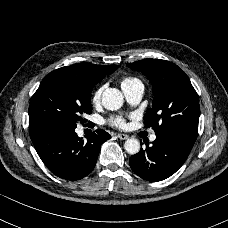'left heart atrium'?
Wrapping results in <instances>:
<instances>
[{"mask_svg":"<svg viewBox=\"0 0 228 228\" xmlns=\"http://www.w3.org/2000/svg\"><path fill=\"white\" fill-rule=\"evenodd\" d=\"M110 123L113 126L119 127V128H123L126 125L125 120L121 117H116V118L111 119Z\"/></svg>","mask_w":228,"mask_h":228,"instance_id":"39dd6f15","label":"left heart atrium"}]
</instances>
